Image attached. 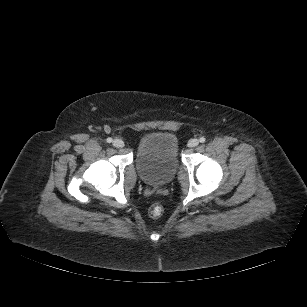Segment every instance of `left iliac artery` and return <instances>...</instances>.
Masks as SVG:
<instances>
[{
  "instance_id": "left-iliac-artery-1",
  "label": "left iliac artery",
  "mask_w": 307,
  "mask_h": 307,
  "mask_svg": "<svg viewBox=\"0 0 307 307\" xmlns=\"http://www.w3.org/2000/svg\"><path fill=\"white\" fill-rule=\"evenodd\" d=\"M205 138L204 137H201L200 139H199V141L201 142V143H204L205 142Z\"/></svg>"
}]
</instances>
